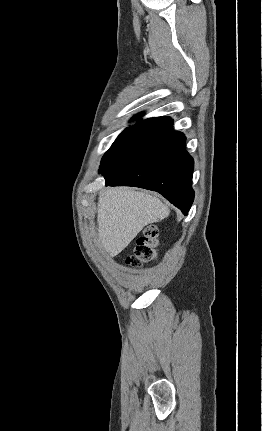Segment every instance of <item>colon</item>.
Here are the masks:
<instances>
[{
	"instance_id": "colon-1",
	"label": "colon",
	"mask_w": 262,
	"mask_h": 431,
	"mask_svg": "<svg viewBox=\"0 0 262 431\" xmlns=\"http://www.w3.org/2000/svg\"><path fill=\"white\" fill-rule=\"evenodd\" d=\"M158 245V230L155 226L147 227L136 240L133 254L126 258V264L138 266L155 258V247Z\"/></svg>"
}]
</instances>
